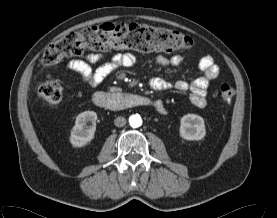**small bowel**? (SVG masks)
<instances>
[{
	"label": "small bowel",
	"mask_w": 277,
	"mask_h": 218,
	"mask_svg": "<svg viewBox=\"0 0 277 218\" xmlns=\"http://www.w3.org/2000/svg\"><path fill=\"white\" fill-rule=\"evenodd\" d=\"M136 58L131 53L115 54L109 61H104L101 54L89 53L80 58L71 59L66 63V68L72 73L73 77L87 83L91 87L100 85L108 78L115 70L120 67H131L134 65ZM184 61V56L175 54L170 57L159 55L156 58V63L161 67L179 66ZM199 68L202 71V76L189 83L184 80H178L170 83L162 78H152L150 86L157 91L175 89L181 92H189L191 103L199 108L207 105V89L211 81L218 78L220 68L215 64L211 56H203L199 60ZM161 102V101H160ZM164 104L158 111L164 110Z\"/></svg>",
	"instance_id": "obj_1"
}]
</instances>
